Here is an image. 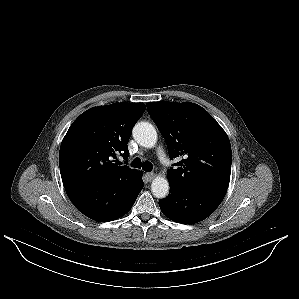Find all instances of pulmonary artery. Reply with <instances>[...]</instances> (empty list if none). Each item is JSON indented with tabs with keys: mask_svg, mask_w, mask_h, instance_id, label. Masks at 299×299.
<instances>
[{
	"mask_svg": "<svg viewBox=\"0 0 299 299\" xmlns=\"http://www.w3.org/2000/svg\"><path fill=\"white\" fill-rule=\"evenodd\" d=\"M157 156L161 163L166 164L168 162L167 155L165 154L162 148H158Z\"/></svg>",
	"mask_w": 299,
	"mask_h": 299,
	"instance_id": "e3ab8cb5",
	"label": "pulmonary artery"
}]
</instances>
